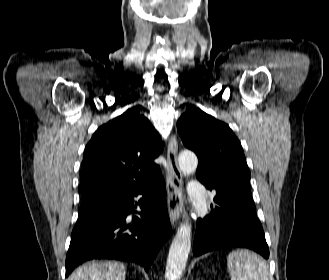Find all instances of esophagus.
<instances>
[{
  "label": "esophagus",
  "instance_id": "obj_1",
  "mask_svg": "<svg viewBox=\"0 0 329 280\" xmlns=\"http://www.w3.org/2000/svg\"><path fill=\"white\" fill-rule=\"evenodd\" d=\"M177 154V139L173 135L167 149V162L170 171V177L167 180L168 214L172 225L178 221L183 208L182 173L178 166ZM174 180L178 182V185L175 184Z\"/></svg>",
  "mask_w": 329,
  "mask_h": 280
}]
</instances>
